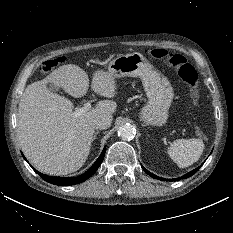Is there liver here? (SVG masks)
<instances>
[{"mask_svg":"<svg viewBox=\"0 0 233 233\" xmlns=\"http://www.w3.org/2000/svg\"><path fill=\"white\" fill-rule=\"evenodd\" d=\"M48 83L79 98L87 93L89 78L77 65H62L43 80L28 85L19 102L17 131L26 158L40 172L62 176L83 166L90 152L95 118L112 115L117 104L102 100L95 108L74 117L73 103L48 90ZM91 88L106 98L117 93L115 78L103 70L93 73Z\"/></svg>","mask_w":233,"mask_h":233,"instance_id":"obj_1","label":"liver"}]
</instances>
